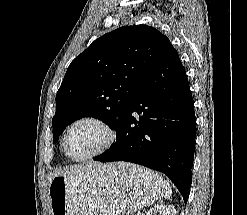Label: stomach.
<instances>
[{
    "label": "stomach",
    "mask_w": 247,
    "mask_h": 215,
    "mask_svg": "<svg viewBox=\"0 0 247 215\" xmlns=\"http://www.w3.org/2000/svg\"><path fill=\"white\" fill-rule=\"evenodd\" d=\"M158 173L130 163L105 164L49 184L50 215H129L161 194Z\"/></svg>",
    "instance_id": "1"
}]
</instances>
